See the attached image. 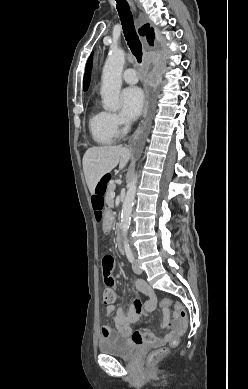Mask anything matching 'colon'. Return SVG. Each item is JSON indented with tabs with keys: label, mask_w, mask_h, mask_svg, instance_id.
Returning <instances> with one entry per match:
<instances>
[{
	"label": "colon",
	"mask_w": 248,
	"mask_h": 389,
	"mask_svg": "<svg viewBox=\"0 0 248 389\" xmlns=\"http://www.w3.org/2000/svg\"><path fill=\"white\" fill-rule=\"evenodd\" d=\"M109 180V177L107 175H102L100 177V180L98 181L99 185L95 186V191L91 197V205L94 209V217L100 218L101 217V211L102 206L104 205L105 195L103 192L106 191V184ZM115 260L114 257L111 255H106L102 258V268H103V279L104 283L107 287L111 286L112 291H116L118 284L116 283L115 279L111 278V274L116 273V268L114 267ZM116 299V296L114 293L104 290L103 292V301L105 304L111 303ZM174 307V312L176 316V325L177 329L175 333L171 336L169 340V347H175L179 343L180 337L183 336L187 329H188V315L185 307L177 300H174L172 298H166L160 302V307L163 309H167L168 307L172 306ZM152 339L156 338L155 334L151 335ZM136 341V338L133 339ZM168 348L162 347L159 349H156L152 351L148 356V362L150 366H153L155 362L161 358L166 352Z\"/></svg>",
	"instance_id": "5ec220e1"
}]
</instances>
